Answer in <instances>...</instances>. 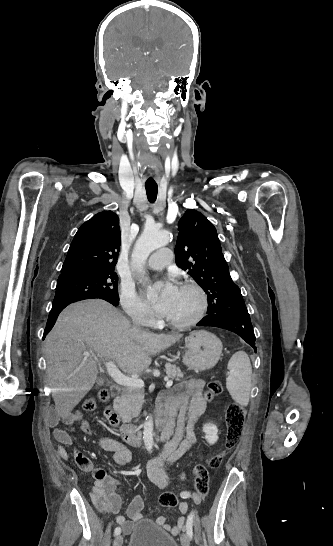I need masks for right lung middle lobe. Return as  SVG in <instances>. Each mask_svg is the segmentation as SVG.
<instances>
[{"mask_svg": "<svg viewBox=\"0 0 333 546\" xmlns=\"http://www.w3.org/2000/svg\"><path fill=\"white\" fill-rule=\"evenodd\" d=\"M114 271L73 272L60 275L53 304L110 297L119 300Z\"/></svg>", "mask_w": 333, "mask_h": 546, "instance_id": "dd1d6c3e", "label": "right lung middle lobe"}]
</instances>
